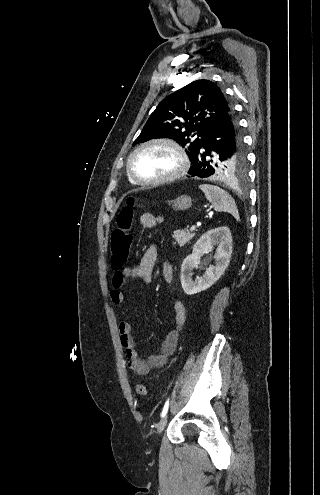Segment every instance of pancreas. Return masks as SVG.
<instances>
[{
    "mask_svg": "<svg viewBox=\"0 0 320 495\" xmlns=\"http://www.w3.org/2000/svg\"><path fill=\"white\" fill-rule=\"evenodd\" d=\"M194 236H195V233H192L189 231L186 232L183 230H176L172 234V237L175 239V241L178 243L179 246H184Z\"/></svg>",
    "mask_w": 320,
    "mask_h": 495,
    "instance_id": "1",
    "label": "pancreas"
}]
</instances>
